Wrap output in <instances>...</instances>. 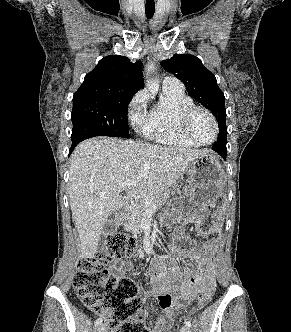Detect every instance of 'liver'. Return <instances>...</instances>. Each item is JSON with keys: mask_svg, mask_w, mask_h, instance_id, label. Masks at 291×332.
Segmentation results:
<instances>
[{"mask_svg": "<svg viewBox=\"0 0 291 332\" xmlns=\"http://www.w3.org/2000/svg\"><path fill=\"white\" fill-rule=\"evenodd\" d=\"M207 149L162 147L109 137H94L75 148L69 169V199L80 238V257L93 258L107 217L133 206L149 193L173 186L190 162ZM133 181L126 197L123 182Z\"/></svg>", "mask_w": 291, "mask_h": 332, "instance_id": "1", "label": "liver"}]
</instances>
